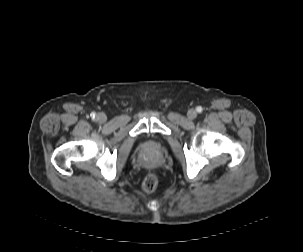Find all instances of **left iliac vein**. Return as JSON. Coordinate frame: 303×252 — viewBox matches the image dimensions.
Wrapping results in <instances>:
<instances>
[{
	"mask_svg": "<svg viewBox=\"0 0 303 252\" xmlns=\"http://www.w3.org/2000/svg\"><path fill=\"white\" fill-rule=\"evenodd\" d=\"M196 116H197V112L195 110L191 109V110L188 111L189 119H195Z\"/></svg>",
	"mask_w": 303,
	"mask_h": 252,
	"instance_id": "left-iliac-vein-1",
	"label": "left iliac vein"
}]
</instances>
